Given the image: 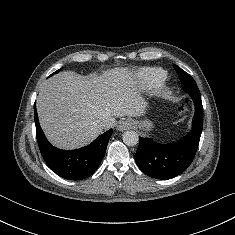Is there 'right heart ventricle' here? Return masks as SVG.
<instances>
[{
    "label": "right heart ventricle",
    "instance_id": "obj_1",
    "mask_svg": "<svg viewBox=\"0 0 235 235\" xmlns=\"http://www.w3.org/2000/svg\"><path fill=\"white\" fill-rule=\"evenodd\" d=\"M136 77L144 89H153L165 81L167 73L158 67H143L137 71Z\"/></svg>",
    "mask_w": 235,
    "mask_h": 235
}]
</instances>
